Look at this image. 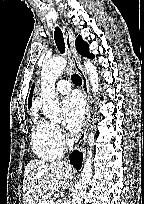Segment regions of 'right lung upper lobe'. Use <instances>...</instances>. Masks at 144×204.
Listing matches in <instances>:
<instances>
[{"label":"right lung upper lobe","instance_id":"cb5924a9","mask_svg":"<svg viewBox=\"0 0 144 204\" xmlns=\"http://www.w3.org/2000/svg\"><path fill=\"white\" fill-rule=\"evenodd\" d=\"M33 89H34V85L32 86L31 93H30V96H29V101H28V106L29 107H31V103H32V92H33Z\"/></svg>","mask_w":144,"mask_h":204}]
</instances>
